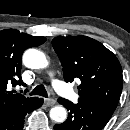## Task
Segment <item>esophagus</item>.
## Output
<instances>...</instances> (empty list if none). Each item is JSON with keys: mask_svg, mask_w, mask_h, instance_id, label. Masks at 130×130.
<instances>
[{"mask_svg": "<svg viewBox=\"0 0 130 130\" xmlns=\"http://www.w3.org/2000/svg\"><path fill=\"white\" fill-rule=\"evenodd\" d=\"M44 103L47 105V106H53L56 104V101L55 99L53 98H45L44 99Z\"/></svg>", "mask_w": 130, "mask_h": 130, "instance_id": "obj_1", "label": "esophagus"}]
</instances>
